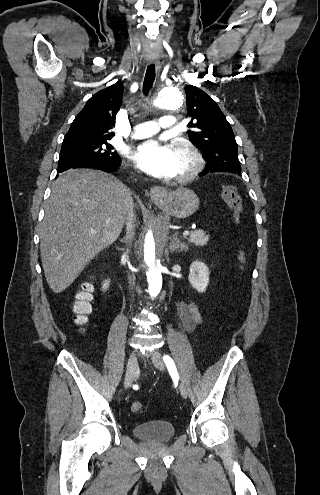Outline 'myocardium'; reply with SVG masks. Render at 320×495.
Here are the masks:
<instances>
[{
	"label": "myocardium",
	"mask_w": 320,
	"mask_h": 495,
	"mask_svg": "<svg viewBox=\"0 0 320 495\" xmlns=\"http://www.w3.org/2000/svg\"><path fill=\"white\" fill-rule=\"evenodd\" d=\"M173 148L182 152L188 160V167L175 180L181 183L191 180L203 167V158L200 152L187 140L173 141Z\"/></svg>",
	"instance_id": "myocardium-1"
}]
</instances>
